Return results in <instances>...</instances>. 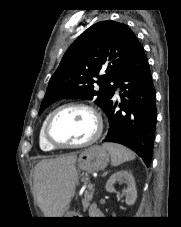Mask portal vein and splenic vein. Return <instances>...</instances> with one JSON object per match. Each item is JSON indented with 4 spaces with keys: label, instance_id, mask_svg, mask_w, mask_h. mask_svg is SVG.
<instances>
[{
    "label": "portal vein and splenic vein",
    "instance_id": "18ae733b",
    "mask_svg": "<svg viewBox=\"0 0 181 227\" xmlns=\"http://www.w3.org/2000/svg\"><path fill=\"white\" fill-rule=\"evenodd\" d=\"M89 188L90 189H93V184H89Z\"/></svg>",
    "mask_w": 181,
    "mask_h": 227
}]
</instances>
